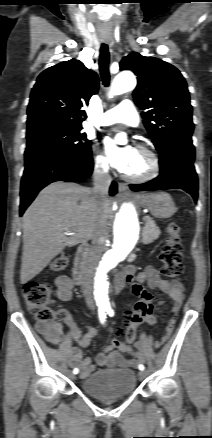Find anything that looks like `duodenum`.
Segmentation results:
<instances>
[{"mask_svg": "<svg viewBox=\"0 0 212 438\" xmlns=\"http://www.w3.org/2000/svg\"><path fill=\"white\" fill-rule=\"evenodd\" d=\"M88 251H89L88 245L82 244L78 247V250L76 252L73 272H74V280L77 284H81L83 281Z\"/></svg>", "mask_w": 212, "mask_h": 438, "instance_id": "1", "label": "duodenum"}]
</instances>
